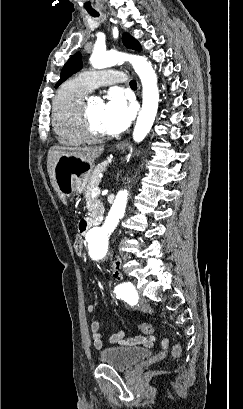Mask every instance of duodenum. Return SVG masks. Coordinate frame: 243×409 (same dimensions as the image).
<instances>
[{"mask_svg":"<svg viewBox=\"0 0 243 409\" xmlns=\"http://www.w3.org/2000/svg\"><path fill=\"white\" fill-rule=\"evenodd\" d=\"M97 224H98V221L85 220V221L81 222L80 229H81V231L86 232L89 228H91V227H93V226H95Z\"/></svg>","mask_w":243,"mask_h":409,"instance_id":"1","label":"duodenum"}]
</instances>
